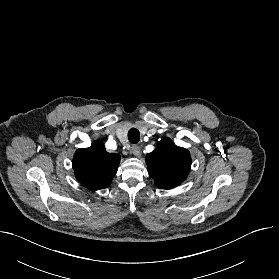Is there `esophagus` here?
<instances>
[{"mask_svg":"<svg viewBox=\"0 0 279 279\" xmlns=\"http://www.w3.org/2000/svg\"><path fill=\"white\" fill-rule=\"evenodd\" d=\"M131 152L136 156V157H140L141 156V148L134 144L131 147Z\"/></svg>","mask_w":279,"mask_h":279,"instance_id":"esophagus-1","label":"esophagus"}]
</instances>
